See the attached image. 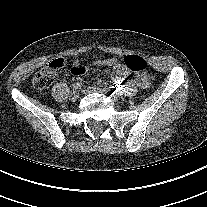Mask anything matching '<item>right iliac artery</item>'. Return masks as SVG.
I'll list each match as a JSON object with an SVG mask.
<instances>
[{"instance_id":"1","label":"right iliac artery","mask_w":207,"mask_h":207,"mask_svg":"<svg viewBox=\"0 0 207 207\" xmlns=\"http://www.w3.org/2000/svg\"><path fill=\"white\" fill-rule=\"evenodd\" d=\"M81 88V83L80 82H76L72 85V89L73 91H78Z\"/></svg>"}]
</instances>
